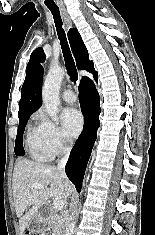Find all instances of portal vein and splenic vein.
<instances>
[{"instance_id": "obj_1", "label": "portal vein and splenic vein", "mask_w": 155, "mask_h": 235, "mask_svg": "<svg viewBox=\"0 0 155 235\" xmlns=\"http://www.w3.org/2000/svg\"><path fill=\"white\" fill-rule=\"evenodd\" d=\"M31 188H39V189H43L44 188V185L42 184H39V183H32L31 185ZM54 208L57 210V211H61L64 207V200H62L61 198H55L54 199Z\"/></svg>"}]
</instances>
